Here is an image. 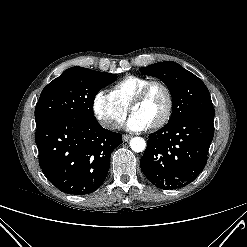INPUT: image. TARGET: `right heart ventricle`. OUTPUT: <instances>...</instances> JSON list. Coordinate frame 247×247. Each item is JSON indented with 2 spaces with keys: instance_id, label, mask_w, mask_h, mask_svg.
Returning a JSON list of instances; mask_svg holds the SVG:
<instances>
[{
  "instance_id": "right-heart-ventricle-1",
  "label": "right heart ventricle",
  "mask_w": 247,
  "mask_h": 247,
  "mask_svg": "<svg viewBox=\"0 0 247 247\" xmlns=\"http://www.w3.org/2000/svg\"><path fill=\"white\" fill-rule=\"evenodd\" d=\"M149 81L147 77L127 76L117 82L110 93L118 103L128 108L133 97Z\"/></svg>"
}]
</instances>
